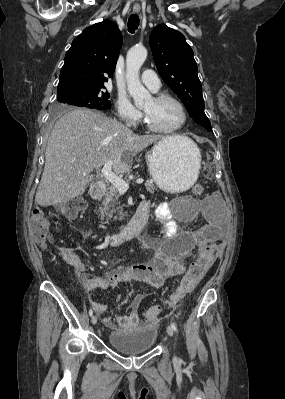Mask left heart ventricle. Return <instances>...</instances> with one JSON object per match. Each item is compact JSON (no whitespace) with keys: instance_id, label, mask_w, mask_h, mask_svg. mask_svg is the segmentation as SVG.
<instances>
[{"instance_id":"left-heart-ventricle-1","label":"left heart ventricle","mask_w":285,"mask_h":399,"mask_svg":"<svg viewBox=\"0 0 285 399\" xmlns=\"http://www.w3.org/2000/svg\"><path fill=\"white\" fill-rule=\"evenodd\" d=\"M143 110L155 125L162 128L175 127L183 118L180 107L172 100L156 102L152 98L143 106Z\"/></svg>"}]
</instances>
